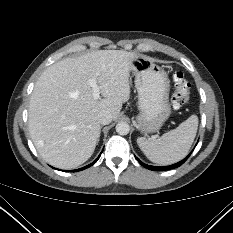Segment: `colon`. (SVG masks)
<instances>
[{"label":"colon","instance_id":"obj_1","mask_svg":"<svg viewBox=\"0 0 233 233\" xmlns=\"http://www.w3.org/2000/svg\"><path fill=\"white\" fill-rule=\"evenodd\" d=\"M174 93L171 98L173 109L178 110L184 107L189 101L190 83L183 72L175 71L172 76Z\"/></svg>","mask_w":233,"mask_h":233}]
</instances>
